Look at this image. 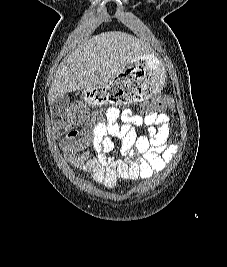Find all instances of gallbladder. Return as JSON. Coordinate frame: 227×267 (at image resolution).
I'll return each instance as SVG.
<instances>
[{"label": "gallbladder", "mask_w": 227, "mask_h": 267, "mask_svg": "<svg viewBox=\"0 0 227 267\" xmlns=\"http://www.w3.org/2000/svg\"><path fill=\"white\" fill-rule=\"evenodd\" d=\"M70 103V98L67 94L56 98L51 104V112L53 115L61 114Z\"/></svg>", "instance_id": "bac80fb5"}]
</instances>
